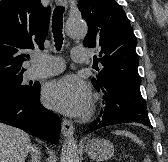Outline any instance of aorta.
Wrapping results in <instances>:
<instances>
[{
    "mask_svg": "<svg viewBox=\"0 0 168 162\" xmlns=\"http://www.w3.org/2000/svg\"><path fill=\"white\" fill-rule=\"evenodd\" d=\"M87 30V25L82 19H69L66 22V33L71 38H83ZM60 162H79L77 142L74 137H68L64 141Z\"/></svg>",
    "mask_w": 168,
    "mask_h": 162,
    "instance_id": "aorta-1",
    "label": "aorta"
}]
</instances>
